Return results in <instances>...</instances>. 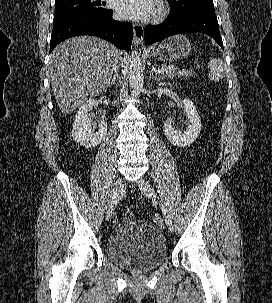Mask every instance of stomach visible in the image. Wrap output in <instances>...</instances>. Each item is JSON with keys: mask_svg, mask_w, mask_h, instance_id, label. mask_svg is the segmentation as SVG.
<instances>
[{"mask_svg": "<svg viewBox=\"0 0 272 303\" xmlns=\"http://www.w3.org/2000/svg\"><path fill=\"white\" fill-rule=\"evenodd\" d=\"M191 51V44L183 35H176L162 41L152 50V56L163 62L178 61Z\"/></svg>", "mask_w": 272, "mask_h": 303, "instance_id": "obj_1", "label": "stomach"}]
</instances>
